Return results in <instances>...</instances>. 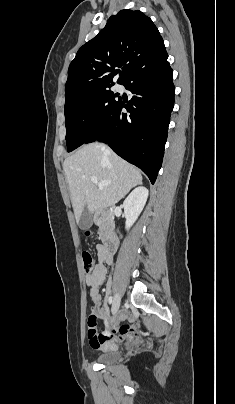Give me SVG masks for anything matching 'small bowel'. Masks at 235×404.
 <instances>
[{
  "mask_svg": "<svg viewBox=\"0 0 235 404\" xmlns=\"http://www.w3.org/2000/svg\"><path fill=\"white\" fill-rule=\"evenodd\" d=\"M96 250L98 263L95 265L94 269L86 275L85 281L90 288L89 296L93 302L92 309L94 314L103 321L105 328L101 332H98L96 328L95 333H91L88 329V338L92 348L109 350L116 348L119 343L137 334L139 327L131 323L120 324L119 320L113 319L108 309L102 305L100 287L106 281V264L112 262L113 256L108 253L107 249L102 244H97ZM120 318L134 320V314L131 310L125 309L121 312Z\"/></svg>",
  "mask_w": 235,
  "mask_h": 404,
  "instance_id": "1",
  "label": "small bowel"
}]
</instances>
